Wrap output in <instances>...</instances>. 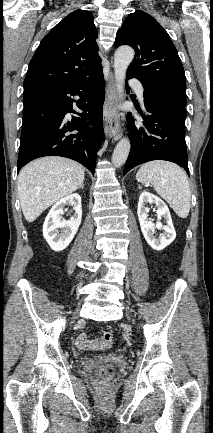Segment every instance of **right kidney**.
<instances>
[{
  "label": "right kidney",
  "instance_id": "1",
  "mask_svg": "<svg viewBox=\"0 0 213 433\" xmlns=\"http://www.w3.org/2000/svg\"><path fill=\"white\" fill-rule=\"evenodd\" d=\"M72 205L74 215L65 220L62 215L64 208ZM82 219L81 197L74 193L59 200L49 211L43 224V236L54 251L64 250L72 241ZM58 229H61L59 232Z\"/></svg>",
  "mask_w": 213,
  "mask_h": 433
}]
</instances>
